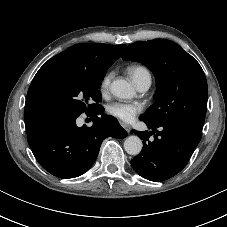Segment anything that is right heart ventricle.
<instances>
[{"label": "right heart ventricle", "instance_id": "right-heart-ventricle-1", "mask_svg": "<svg viewBox=\"0 0 227 227\" xmlns=\"http://www.w3.org/2000/svg\"><path fill=\"white\" fill-rule=\"evenodd\" d=\"M128 73L136 85L146 78L151 79L149 70L142 65L131 66L128 69Z\"/></svg>", "mask_w": 227, "mask_h": 227}]
</instances>
